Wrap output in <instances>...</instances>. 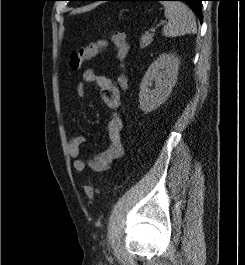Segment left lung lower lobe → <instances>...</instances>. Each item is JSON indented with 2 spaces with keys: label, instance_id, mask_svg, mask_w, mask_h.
<instances>
[{
  "label": "left lung lower lobe",
  "instance_id": "obj_1",
  "mask_svg": "<svg viewBox=\"0 0 245 265\" xmlns=\"http://www.w3.org/2000/svg\"><path fill=\"white\" fill-rule=\"evenodd\" d=\"M81 1H100V0H81ZM107 1H128V0H107ZM154 1H163V0H154ZM188 3L194 12L198 15L200 21H202V11H201V1L203 0H178Z\"/></svg>",
  "mask_w": 245,
  "mask_h": 265
}]
</instances>
